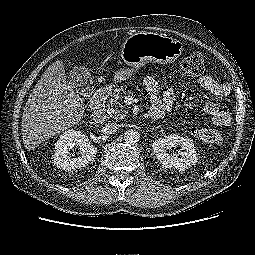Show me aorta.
<instances>
[{"label": "aorta", "mask_w": 255, "mask_h": 255, "mask_svg": "<svg viewBox=\"0 0 255 255\" xmlns=\"http://www.w3.org/2000/svg\"><path fill=\"white\" fill-rule=\"evenodd\" d=\"M140 139V134L136 129H129L124 133V140L126 143L134 144Z\"/></svg>", "instance_id": "1"}]
</instances>
